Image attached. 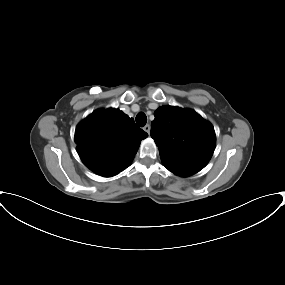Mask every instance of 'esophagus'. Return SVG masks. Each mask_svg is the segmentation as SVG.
<instances>
[{"label":"esophagus","mask_w":285,"mask_h":285,"mask_svg":"<svg viewBox=\"0 0 285 285\" xmlns=\"http://www.w3.org/2000/svg\"><path fill=\"white\" fill-rule=\"evenodd\" d=\"M144 131L147 133V134H150V125L149 124H146L144 127H143Z\"/></svg>","instance_id":"obj_1"}]
</instances>
